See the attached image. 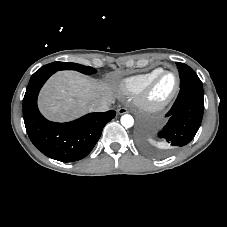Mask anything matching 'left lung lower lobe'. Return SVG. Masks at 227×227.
I'll use <instances>...</instances> for the list:
<instances>
[{
	"label": "left lung lower lobe",
	"instance_id": "1",
	"mask_svg": "<svg viewBox=\"0 0 227 227\" xmlns=\"http://www.w3.org/2000/svg\"><path fill=\"white\" fill-rule=\"evenodd\" d=\"M203 111V90L181 87L176 101L165 115L169 119L167 124L157 134L160 150L170 153L187 145L200 127ZM138 141L143 148L155 151L144 134L139 135Z\"/></svg>",
	"mask_w": 227,
	"mask_h": 227
}]
</instances>
